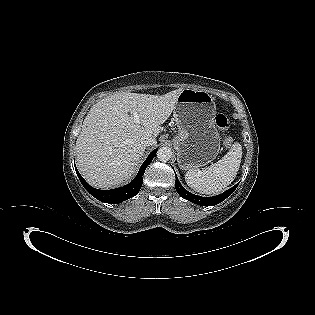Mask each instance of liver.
<instances>
[{
    "label": "liver",
    "instance_id": "liver-1",
    "mask_svg": "<svg viewBox=\"0 0 315 315\" xmlns=\"http://www.w3.org/2000/svg\"><path fill=\"white\" fill-rule=\"evenodd\" d=\"M183 91L165 95L117 93L89 110L76 141L77 167L84 179L100 189L116 187L136 172L146 146L144 137L156 138L175 110ZM139 115L135 122L133 113ZM157 143L155 139V145Z\"/></svg>",
    "mask_w": 315,
    "mask_h": 315
}]
</instances>
